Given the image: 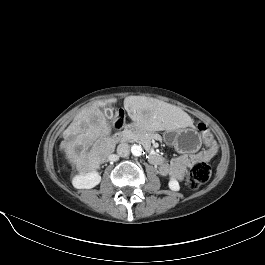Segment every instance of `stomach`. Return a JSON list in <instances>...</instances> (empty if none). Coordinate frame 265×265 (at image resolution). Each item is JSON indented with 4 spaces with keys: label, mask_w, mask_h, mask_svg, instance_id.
<instances>
[{
    "label": "stomach",
    "mask_w": 265,
    "mask_h": 265,
    "mask_svg": "<svg viewBox=\"0 0 265 265\" xmlns=\"http://www.w3.org/2000/svg\"><path fill=\"white\" fill-rule=\"evenodd\" d=\"M163 139L166 144L173 146L179 153H195L201 145V137L192 128L165 130Z\"/></svg>",
    "instance_id": "1"
}]
</instances>
